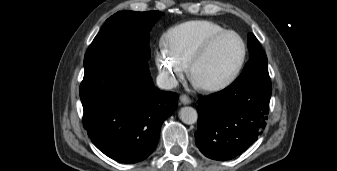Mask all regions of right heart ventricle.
I'll use <instances>...</instances> for the list:
<instances>
[{"label": "right heart ventricle", "mask_w": 337, "mask_h": 171, "mask_svg": "<svg viewBox=\"0 0 337 171\" xmlns=\"http://www.w3.org/2000/svg\"><path fill=\"white\" fill-rule=\"evenodd\" d=\"M227 30L209 20H191L171 28L165 36V45L170 54L188 66L197 49L210 37Z\"/></svg>", "instance_id": "obj_1"}]
</instances>
